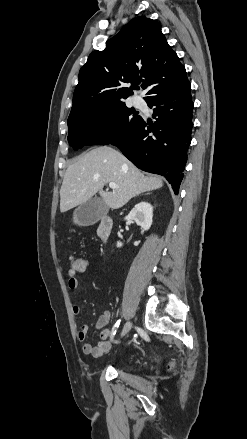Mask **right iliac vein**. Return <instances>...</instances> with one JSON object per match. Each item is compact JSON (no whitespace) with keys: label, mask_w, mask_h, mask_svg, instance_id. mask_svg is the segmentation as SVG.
I'll return each mask as SVG.
<instances>
[{"label":"right iliac vein","mask_w":247,"mask_h":439,"mask_svg":"<svg viewBox=\"0 0 247 439\" xmlns=\"http://www.w3.org/2000/svg\"><path fill=\"white\" fill-rule=\"evenodd\" d=\"M131 326H132V324L130 321H127L125 323L123 330H122V333H121V337L125 336L129 332V330L131 329Z\"/></svg>","instance_id":"63e3f726"}]
</instances>
